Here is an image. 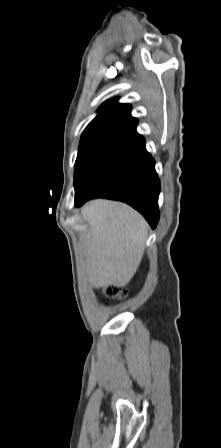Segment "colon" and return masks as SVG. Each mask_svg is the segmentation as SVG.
Returning <instances> with one entry per match:
<instances>
[{
    "label": "colon",
    "instance_id": "5ec220e1",
    "mask_svg": "<svg viewBox=\"0 0 221 448\" xmlns=\"http://www.w3.org/2000/svg\"><path fill=\"white\" fill-rule=\"evenodd\" d=\"M104 294L108 298L123 299L127 296V292L116 286H107L104 289Z\"/></svg>",
    "mask_w": 221,
    "mask_h": 448
}]
</instances>
